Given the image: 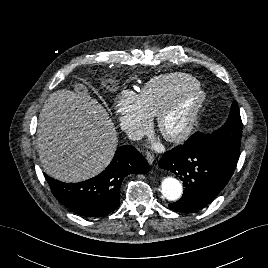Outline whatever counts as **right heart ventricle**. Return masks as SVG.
Listing matches in <instances>:
<instances>
[{
    "label": "right heart ventricle",
    "instance_id": "1",
    "mask_svg": "<svg viewBox=\"0 0 268 268\" xmlns=\"http://www.w3.org/2000/svg\"><path fill=\"white\" fill-rule=\"evenodd\" d=\"M199 81L190 74L167 73L153 77L146 82L141 96L153 116L179 91L189 86H199Z\"/></svg>",
    "mask_w": 268,
    "mask_h": 268
}]
</instances>
